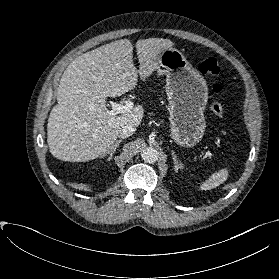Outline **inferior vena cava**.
Masks as SVG:
<instances>
[{
	"label": "inferior vena cava",
	"instance_id": "1",
	"mask_svg": "<svg viewBox=\"0 0 279 279\" xmlns=\"http://www.w3.org/2000/svg\"><path fill=\"white\" fill-rule=\"evenodd\" d=\"M135 130L136 128L134 126L126 125L120 130L119 137L122 139L127 138L131 136L135 132Z\"/></svg>",
	"mask_w": 279,
	"mask_h": 279
}]
</instances>
